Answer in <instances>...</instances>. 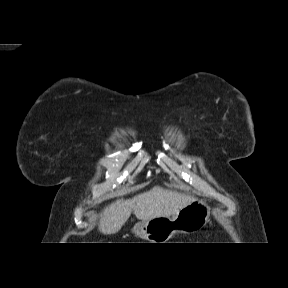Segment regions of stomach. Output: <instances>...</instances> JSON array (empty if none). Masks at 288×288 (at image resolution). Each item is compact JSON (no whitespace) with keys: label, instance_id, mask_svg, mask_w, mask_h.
Segmentation results:
<instances>
[{"label":"stomach","instance_id":"stomach-1","mask_svg":"<svg viewBox=\"0 0 288 288\" xmlns=\"http://www.w3.org/2000/svg\"><path fill=\"white\" fill-rule=\"evenodd\" d=\"M210 208L206 201L193 200L172 216L155 217L137 223L132 232L150 243H166L176 233H192L209 221Z\"/></svg>","mask_w":288,"mask_h":288}]
</instances>
